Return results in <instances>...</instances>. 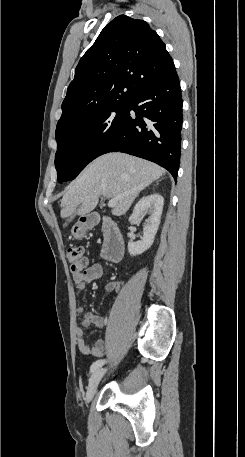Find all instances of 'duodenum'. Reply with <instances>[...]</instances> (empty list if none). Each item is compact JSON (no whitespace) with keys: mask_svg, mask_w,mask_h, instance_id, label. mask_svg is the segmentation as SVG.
<instances>
[{"mask_svg":"<svg viewBox=\"0 0 245 457\" xmlns=\"http://www.w3.org/2000/svg\"><path fill=\"white\" fill-rule=\"evenodd\" d=\"M101 222L105 240L103 247V257L110 262H119L124 255V240L117 224L110 217L89 215L84 219L87 226H95Z\"/></svg>","mask_w":245,"mask_h":457,"instance_id":"obj_1","label":"duodenum"}]
</instances>
